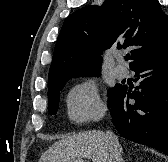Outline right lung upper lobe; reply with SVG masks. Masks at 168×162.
<instances>
[{
    "mask_svg": "<svg viewBox=\"0 0 168 162\" xmlns=\"http://www.w3.org/2000/svg\"><path fill=\"white\" fill-rule=\"evenodd\" d=\"M131 51L130 68L168 48V16L156 0H106L69 15L55 45L48 85L99 71L102 51Z\"/></svg>",
    "mask_w": 168,
    "mask_h": 162,
    "instance_id": "1",
    "label": "right lung upper lobe"
}]
</instances>
